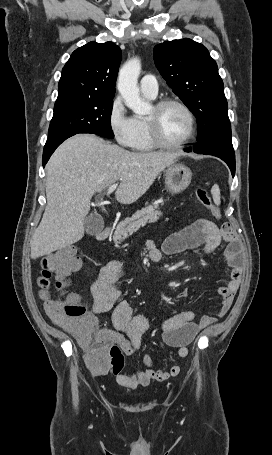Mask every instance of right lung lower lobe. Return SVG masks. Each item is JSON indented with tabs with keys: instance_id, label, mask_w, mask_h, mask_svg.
Segmentation results:
<instances>
[{
	"instance_id": "1",
	"label": "right lung lower lobe",
	"mask_w": 272,
	"mask_h": 455,
	"mask_svg": "<svg viewBox=\"0 0 272 455\" xmlns=\"http://www.w3.org/2000/svg\"><path fill=\"white\" fill-rule=\"evenodd\" d=\"M75 134H67L63 136H59L53 139H48L45 146H44V151H43V166L47 163L49 160L50 156L52 153L55 151V149L67 138L73 136Z\"/></svg>"
}]
</instances>
